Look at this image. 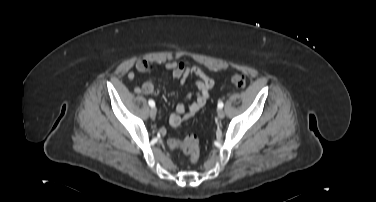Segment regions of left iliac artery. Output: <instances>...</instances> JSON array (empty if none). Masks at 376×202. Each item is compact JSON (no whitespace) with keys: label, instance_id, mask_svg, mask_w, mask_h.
Listing matches in <instances>:
<instances>
[{"label":"left iliac artery","instance_id":"44dca946","mask_svg":"<svg viewBox=\"0 0 376 202\" xmlns=\"http://www.w3.org/2000/svg\"><path fill=\"white\" fill-rule=\"evenodd\" d=\"M223 106H224V104H223V102L222 101H220V102H218V108H223Z\"/></svg>","mask_w":376,"mask_h":202}]
</instances>
